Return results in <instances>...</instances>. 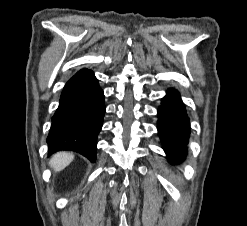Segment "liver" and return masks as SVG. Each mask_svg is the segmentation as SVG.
<instances>
[{"label":"liver","mask_w":247,"mask_h":226,"mask_svg":"<svg viewBox=\"0 0 247 226\" xmlns=\"http://www.w3.org/2000/svg\"><path fill=\"white\" fill-rule=\"evenodd\" d=\"M73 158V154L69 152L56 153L50 160V166L54 171H61L71 163Z\"/></svg>","instance_id":"6515ba94"}]
</instances>
